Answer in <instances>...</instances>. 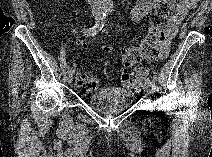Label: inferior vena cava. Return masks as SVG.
<instances>
[{
  "label": "inferior vena cava",
  "mask_w": 212,
  "mask_h": 157,
  "mask_svg": "<svg viewBox=\"0 0 212 157\" xmlns=\"http://www.w3.org/2000/svg\"><path fill=\"white\" fill-rule=\"evenodd\" d=\"M92 10L99 9V0H89Z\"/></svg>",
  "instance_id": "602c4592"
}]
</instances>
